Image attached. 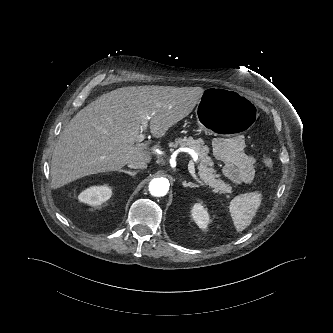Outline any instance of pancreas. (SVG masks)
Listing matches in <instances>:
<instances>
[{"label":"pancreas","mask_w":333,"mask_h":333,"mask_svg":"<svg viewBox=\"0 0 333 333\" xmlns=\"http://www.w3.org/2000/svg\"><path fill=\"white\" fill-rule=\"evenodd\" d=\"M173 147H189L198 155V174L200 178L209 185L214 192L231 193L232 187L221 179H216L217 174L213 169V161L208 156V148L204 146L202 140H195L192 137L178 138L172 144Z\"/></svg>","instance_id":"obj_1"}]
</instances>
